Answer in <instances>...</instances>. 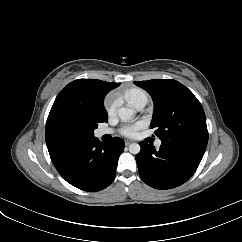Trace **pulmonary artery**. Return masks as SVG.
I'll use <instances>...</instances> for the list:
<instances>
[{
    "label": "pulmonary artery",
    "mask_w": 242,
    "mask_h": 242,
    "mask_svg": "<svg viewBox=\"0 0 242 242\" xmlns=\"http://www.w3.org/2000/svg\"><path fill=\"white\" fill-rule=\"evenodd\" d=\"M146 104H147V97H142L135 103L134 107L136 110L141 111L145 107ZM112 132H113V130H111V129H102L98 132V134H99V136H103L106 134H111ZM161 144H162L161 140H157L155 142L156 147H160Z\"/></svg>",
    "instance_id": "pulmonary-artery-1"
}]
</instances>
